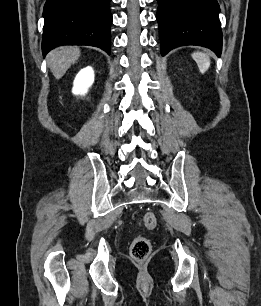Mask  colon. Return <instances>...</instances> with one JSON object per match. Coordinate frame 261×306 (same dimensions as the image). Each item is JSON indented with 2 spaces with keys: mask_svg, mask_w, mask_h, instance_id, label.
<instances>
[{
  "mask_svg": "<svg viewBox=\"0 0 261 306\" xmlns=\"http://www.w3.org/2000/svg\"><path fill=\"white\" fill-rule=\"evenodd\" d=\"M140 224L147 230H153L157 225V219L154 213L144 214ZM151 252V243L144 236H137L131 243L130 253L136 261H144Z\"/></svg>",
  "mask_w": 261,
  "mask_h": 306,
  "instance_id": "5ec220e1",
  "label": "colon"
}]
</instances>
